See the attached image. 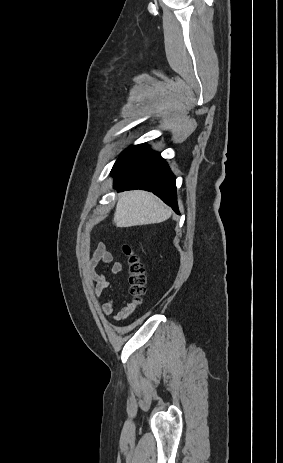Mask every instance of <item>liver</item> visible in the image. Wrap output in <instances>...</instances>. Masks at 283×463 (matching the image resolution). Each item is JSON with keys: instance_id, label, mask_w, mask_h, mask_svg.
<instances>
[{"instance_id": "1", "label": "liver", "mask_w": 283, "mask_h": 463, "mask_svg": "<svg viewBox=\"0 0 283 463\" xmlns=\"http://www.w3.org/2000/svg\"><path fill=\"white\" fill-rule=\"evenodd\" d=\"M171 210L152 193L130 191L119 198L113 222L117 227L161 223L169 219Z\"/></svg>"}]
</instances>
